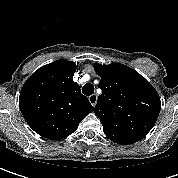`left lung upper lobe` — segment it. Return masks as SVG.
<instances>
[{
  "label": "left lung upper lobe",
  "mask_w": 178,
  "mask_h": 178,
  "mask_svg": "<svg viewBox=\"0 0 178 178\" xmlns=\"http://www.w3.org/2000/svg\"><path fill=\"white\" fill-rule=\"evenodd\" d=\"M101 77L95 114L105 135L126 145L143 139L154 126L161 109L155 88L138 72L120 64L94 65Z\"/></svg>",
  "instance_id": "obj_1"
}]
</instances>
